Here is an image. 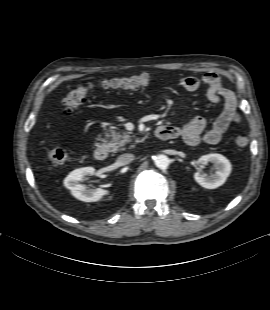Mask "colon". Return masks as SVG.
Returning a JSON list of instances; mask_svg holds the SVG:
<instances>
[{
	"label": "colon",
	"instance_id": "obj_1",
	"mask_svg": "<svg viewBox=\"0 0 270 310\" xmlns=\"http://www.w3.org/2000/svg\"><path fill=\"white\" fill-rule=\"evenodd\" d=\"M151 81V76L147 73L132 75L127 77L112 78L104 80L100 84H89L80 86L68 93L62 100L67 109L81 106L93 88L133 90L147 85ZM235 145L239 149H245L250 144V137L247 134H240L235 137ZM72 159V153L65 148H54L49 152V160L56 166H62Z\"/></svg>",
	"mask_w": 270,
	"mask_h": 310
}]
</instances>
